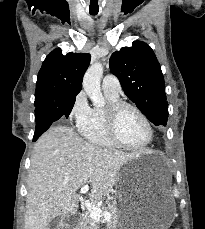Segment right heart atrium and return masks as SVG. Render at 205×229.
Returning a JSON list of instances; mask_svg holds the SVG:
<instances>
[{
    "label": "right heart atrium",
    "mask_w": 205,
    "mask_h": 229,
    "mask_svg": "<svg viewBox=\"0 0 205 229\" xmlns=\"http://www.w3.org/2000/svg\"><path fill=\"white\" fill-rule=\"evenodd\" d=\"M91 110L86 95L83 91L78 92L71 104L69 118L79 129L83 126L91 116Z\"/></svg>",
    "instance_id": "obj_1"
}]
</instances>
